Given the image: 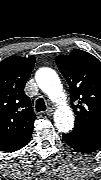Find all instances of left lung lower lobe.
I'll list each match as a JSON object with an SVG mask.
<instances>
[{
    "instance_id": "0a47b994",
    "label": "left lung lower lobe",
    "mask_w": 101,
    "mask_h": 180,
    "mask_svg": "<svg viewBox=\"0 0 101 180\" xmlns=\"http://www.w3.org/2000/svg\"><path fill=\"white\" fill-rule=\"evenodd\" d=\"M63 140L78 152L91 153L100 147L101 134L76 127L71 132L63 134Z\"/></svg>"
}]
</instances>
